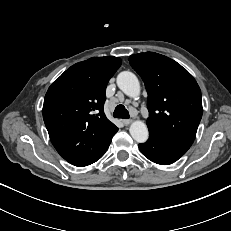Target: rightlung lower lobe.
Returning a JSON list of instances; mask_svg holds the SVG:
<instances>
[{"label":"right lung lower lobe","instance_id":"right-lung-lower-lobe-1","mask_svg":"<svg viewBox=\"0 0 231 231\" xmlns=\"http://www.w3.org/2000/svg\"><path fill=\"white\" fill-rule=\"evenodd\" d=\"M105 152H106V151H105ZM105 152H104V153H105ZM104 153L100 156V158L104 155ZM100 158H99V159H100ZM99 159H98V160H99Z\"/></svg>","mask_w":231,"mask_h":231}]
</instances>
